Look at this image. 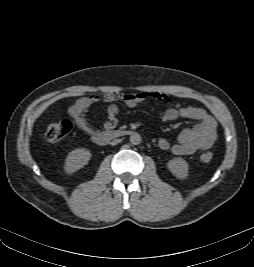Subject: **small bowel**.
Masks as SVG:
<instances>
[{
    "label": "small bowel",
    "mask_w": 254,
    "mask_h": 267,
    "mask_svg": "<svg viewBox=\"0 0 254 267\" xmlns=\"http://www.w3.org/2000/svg\"><path fill=\"white\" fill-rule=\"evenodd\" d=\"M152 98L160 102H167L168 96L158 92H137L130 94L106 93L102 96L92 95L81 97L76 100L68 109V114L76 127L87 135L94 136L99 133L93 128L85 118L86 111L99 101L108 104L107 119L104 123V130L113 129L117 123L119 108L116 102L121 101L128 107H135L146 99ZM178 118L195 120L198 123L192 127L184 129L178 136L177 143L170 145L166 139L159 140V147L163 150L171 149L172 153L178 156L192 155L197 151L209 149L216 140L217 124L214 118L204 109L193 106L175 105L166 108L161 119L165 122L174 121Z\"/></svg>",
    "instance_id": "small-bowel-1"
}]
</instances>
